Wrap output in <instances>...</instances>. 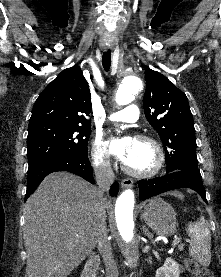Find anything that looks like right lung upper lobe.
I'll return each mask as SVG.
<instances>
[{
    "label": "right lung upper lobe",
    "instance_id": "obj_1",
    "mask_svg": "<svg viewBox=\"0 0 221 277\" xmlns=\"http://www.w3.org/2000/svg\"><path fill=\"white\" fill-rule=\"evenodd\" d=\"M88 83L78 65L63 70L37 98L29 126L44 124L90 125Z\"/></svg>",
    "mask_w": 221,
    "mask_h": 277
}]
</instances>
